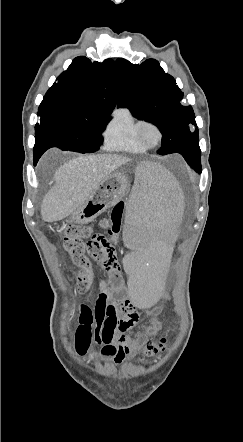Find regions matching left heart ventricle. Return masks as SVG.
I'll list each match as a JSON object with an SVG mask.
<instances>
[{"label":"left heart ventricle","instance_id":"1","mask_svg":"<svg viewBox=\"0 0 243 442\" xmlns=\"http://www.w3.org/2000/svg\"><path fill=\"white\" fill-rule=\"evenodd\" d=\"M144 140L149 144H155L158 140V132L152 126H148L143 131Z\"/></svg>","mask_w":243,"mask_h":442}]
</instances>
